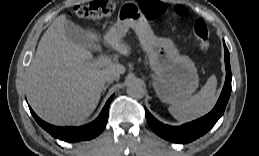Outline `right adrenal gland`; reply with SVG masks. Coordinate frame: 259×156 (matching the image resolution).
<instances>
[{"mask_svg":"<svg viewBox=\"0 0 259 156\" xmlns=\"http://www.w3.org/2000/svg\"><path fill=\"white\" fill-rule=\"evenodd\" d=\"M110 84H111V82H108V83L104 86L103 92H102L103 95L105 94V92H106V90H107V88L109 87Z\"/></svg>","mask_w":259,"mask_h":156,"instance_id":"obj_1","label":"right adrenal gland"}]
</instances>
